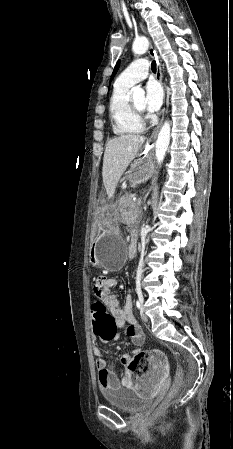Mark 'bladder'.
<instances>
[{"instance_id":"31cf9c89","label":"bladder","mask_w":233,"mask_h":449,"mask_svg":"<svg viewBox=\"0 0 233 449\" xmlns=\"http://www.w3.org/2000/svg\"><path fill=\"white\" fill-rule=\"evenodd\" d=\"M103 397L111 406L128 412L146 409L151 406V399H142L136 395L135 390L122 388L118 385L103 389Z\"/></svg>"}]
</instances>
